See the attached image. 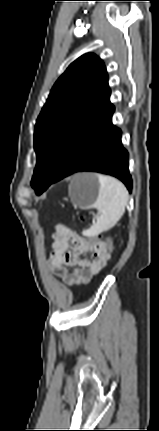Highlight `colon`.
Segmentation results:
<instances>
[{
	"label": "colon",
	"mask_w": 159,
	"mask_h": 431,
	"mask_svg": "<svg viewBox=\"0 0 159 431\" xmlns=\"http://www.w3.org/2000/svg\"><path fill=\"white\" fill-rule=\"evenodd\" d=\"M99 240H102V235H97L96 237H95V242H98ZM103 244H106V246H107V248L110 250V251H112V247H113V245H112V241H111V239H109V238H107V239H105L104 241H101ZM111 255V254H110Z\"/></svg>",
	"instance_id": "5ec220e1"
}]
</instances>
